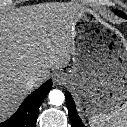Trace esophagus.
I'll return each mask as SVG.
<instances>
[{
	"label": "esophagus",
	"instance_id": "1",
	"mask_svg": "<svg viewBox=\"0 0 127 127\" xmlns=\"http://www.w3.org/2000/svg\"><path fill=\"white\" fill-rule=\"evenodd\" d=\"M65 81H66V78H65V76H63L62 74H58V75H56L55 78H54V83H55L56 85H62V84L65 83Z\"/></svg>",
	"mask_w": 127,
	"mask_h": 127
}]
</instances>
